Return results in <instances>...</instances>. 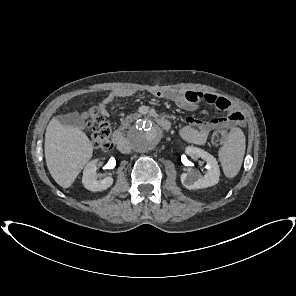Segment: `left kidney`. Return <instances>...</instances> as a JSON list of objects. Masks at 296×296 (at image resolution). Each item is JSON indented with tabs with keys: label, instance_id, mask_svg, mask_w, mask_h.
<instances>
[{
	"label": "left kidney",
	"instance_id": "5707ae66",
	"mask_svg": "<svg viewBox=\"0 0 296 296\" xmlns=\"http://www.w3.org/2000/svg\"><path fill=\"white\" fill-rule=\"evenodd\" d=\"M186 153L191 157H200L207 164V171L204 176L194 170H190L187 173H182L181 183L182 185L189 189H203L216 185L219 182L220 169L218 162L214 156L208 152L193 146H188L186 148Z\"/></svg>",
	"mask_w": 296,
	"mask_h": 296
}]
</instances>
